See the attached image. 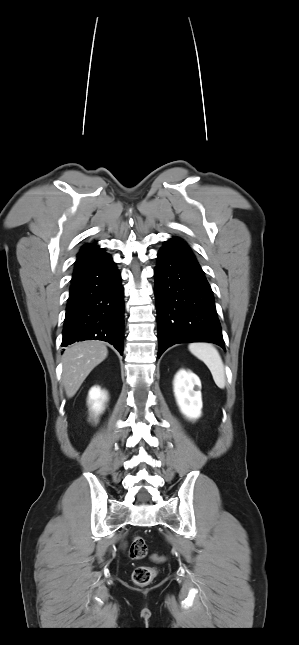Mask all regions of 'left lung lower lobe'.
I'll return each instance as SVG.
<instances>
[{
    "mask_svg": "<svg viewBox=\"0 0 299 645\" xmlns=\"http://www.w3.org/2000/svg\"><path fill=\"white\" fill-rule=\"evenodd\" d=\"M154 269L158 357L176 343L224 341L213 292L189 246L173 237L158 252Z\"/></svg>",
    "mask_w": 299,
    "mask_h": 645,
    "instance_id": "obj_1",
    "label": "left lung lower lobe"
}]
</instances>
